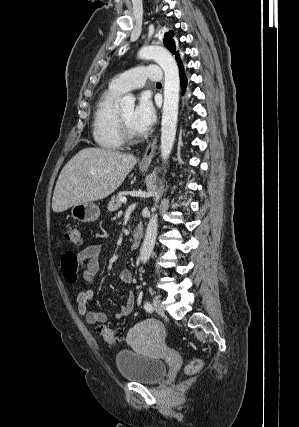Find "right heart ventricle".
Returning a JSON list of instances; mask_svg holds the SVG:
<instances>
[{
	"instance_id": "obj_1",
	"label": "right heart ventricle",
	"mask_w": 299,
	"mask_h": 427,
	"mask_svg": "<svg viewBox=\"0 0 299 427\" xmlns=\"http://www.w3.org/2000/svg\"><path fill=\"white\" fill-rule=\"evenodd\" d=\"M121 94L110 85L101 93L93 112V139L101 149L107 151L119 150L124 144L117 119V101Z\"/></svg>"
}]
</instances>
